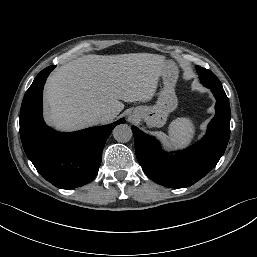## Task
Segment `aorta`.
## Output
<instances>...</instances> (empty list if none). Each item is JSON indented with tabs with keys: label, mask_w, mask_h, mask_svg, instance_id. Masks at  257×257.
I'll return each instance as SVG.
<instances>
[{
	"label": "aorta",
	"mask_w": 257,
	"mask_h": 257,
	"mask_svg": "<svg viewBox=\"0 0 257 257\" xmlns=\"http://www.w3.org/2000/svg\"><path fill=\"white\" fill-rule=\"evenodd\" d=\"M132 129L127 124H120L113 130L115 140L121 143L128 142L132 138Z\"/></svg>",
	"instance_id": "aorta-1"
}]
</instances>
